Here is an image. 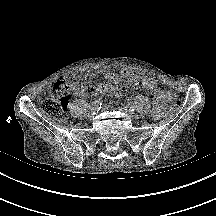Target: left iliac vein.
<instances>
[{
	"mask_svg": "<svg viewBox=\"0 0 216 216\" xmlns=\"http://www.w3.org/2000/svg\"><path fill=\"white\" fill-rule=\"evenodd\" d=\"M118 108H119V110H121V111H123V112L129 114L131 117H135V116H136L135 113L132 112V111H130V110L128 109V107H126V106H120V107H118Z\"/></svg>",
	"mask_w": 216,
	"mask_h": 216,
	"instance_id": "4c4485c4",
	"label": "left iliac vein"
}]
</instances>
